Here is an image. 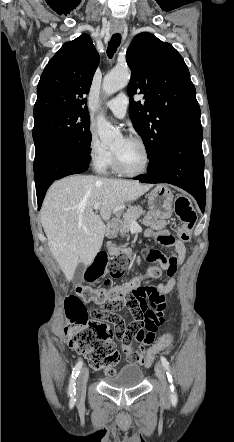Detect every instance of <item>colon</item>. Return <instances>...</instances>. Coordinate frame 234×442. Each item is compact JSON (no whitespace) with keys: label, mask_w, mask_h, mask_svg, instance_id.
Masks as SVG:
<instances>
[{"label":"colon","mask_w":234,"mask_h":442,"mask_svg":"<svg viewBox=\"0 0 234 442\" xmlns=\"http://www.w3.org/2000/svg\"><path fill=\"white\" fill-rule=\"evenodd\" d=\"M175 213L180 221L178 237L183 241H187L196 222V213L190 200L183 194H178L175 198ZM157 240L164 245H171L173 237H162ZM158 255L157 250H146V259L150 262H155ZM129 265L130 258L126 255H120L114 258L108 266L106 254L99 253L86 270L84 278L87 282L102 279V285L99 287L79 285L76 288V295L69 297L65 302L68 319L65 334L69 346L83 354L92 367L103 369L109 374H113L118 361V353L112 341L113 333L111 331V333L106 334L104 331L87 328V319H92L93 314L101 313L100 310H93L88 313L85 309V303L93 302L100 306L107 304L111 310L127 308L133 316L135 314H163L166 306L163 294L154 287L140 286L126 292L122 285L110 286L111 281L121 277ZM161 273L162 268L160 266H152L147 269L144 276L135 279L140 280L142 277L157 278ZM115 335L117 337L116 333ZM172 340L173 337L167 334L155 340L154 344L149 346L143 361L145 368L155 362L156 357L164 352L165 347L169 346Z\"/></svg>","instance_id":"5ec220e1"}]
</instances>
